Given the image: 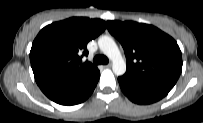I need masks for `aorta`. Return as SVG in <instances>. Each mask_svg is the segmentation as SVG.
<instances>
[{
    "mask_svg": "<svg viewBox=\"0 0 203 123\" xmlns=\"http://www.w3.org/2000/svg\"><path fill=\"white\" fill-rule=\"evenodd\" d=\"M100 50L112 61V70L115 75L120 76L126 72V63L122 54L112 37L103 35L98 39Z\"/></svg>",
    "mask_w": 203,
    "mask_h": 123,
    "instance_id": "aorta-1",
    "label": "aorta"
}]
</instances>
